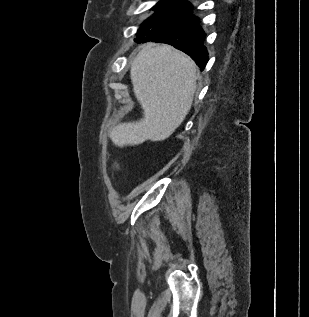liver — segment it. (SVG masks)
Segmentation results:
<instances>
[{
	"label": "liver",
	"mask_w": 309,
	"mask_h": 317,
	"mask_svg": "<svg viewBox=\"0 0 309 317\" xmlns=\"http://www.w3.org/2000/svg\"><path fill=\"white\" fill-rule=\"evenodd\" d=\"M130 77L143 118L115 126L110 139L118 147L167 139L191 109L195 63L169 45L146 44L132 62Z\"/></svg>",
	"instance_id": "1"
}]
</instances>
